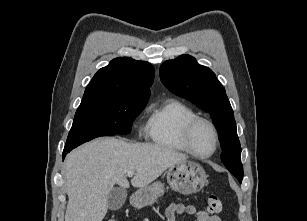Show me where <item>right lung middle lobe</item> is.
<instances>
[{"instance_id": "dd1d6c3e", "label": "right lung middle lobe", "mask_w": 307, "mask_h": 221, "mask_svg": "<svg viewBox=\"0 0 307 221\" xmlns=\"http://www.w3.org/2000/svg\"><path fill=\"white\" fill-rule=\"evenodd\" d=\"M148 99L133 96L101 97L81 102L63 152L100 136L128 134Z\"/></svg>"}]
</instances>
